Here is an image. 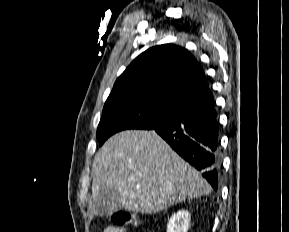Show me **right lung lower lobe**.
Instances as JSON below:
<instances>
[{
    "label": "right lung lower lobe",
    "mask_w": 289,
    "mask_h": 232,
    "mask_svg": "<svg viewBox=\"0 0 289 232\" xmlns=\"http://www.w3.org/2000/svg\"><path fill=\"white\" fill-rule=\"evenodd\" d=\"M155 130L217 190L221 158L218 149L217 111L214 100L180 109L177 117Z\"/></svg>",
    "instance_id": "1"
}]
</instances>
